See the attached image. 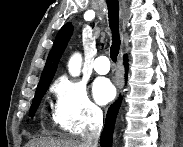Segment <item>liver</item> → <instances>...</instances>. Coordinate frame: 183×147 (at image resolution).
<instances>
[{"label":"liver","mask_w":183,"mask_h":147,"mask_svg":"<svg viewBox=\"0 0 183 147\" xmlns=\"http://www.w3.org/2000/svg\"><path fill=\"white\" fill-rule=\"evenodd\" d=\"M27 147H86L83 142L72 139H54L43 137L28 142Z\"/></svg>","instance_id":"obj_1"}]
</instances>
